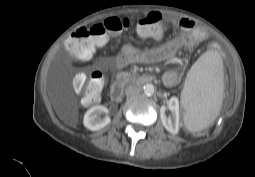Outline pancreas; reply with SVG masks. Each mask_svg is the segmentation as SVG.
I'll use <instances>...</instances> for the list:
<instances>
[{
  "label": "pancreas",
  "instance_id": "obj_1",
  "mask_svg": "<svg viewBox=\"0 0 255 177\" xmlns=\"http://www.w3.org/2000/svg\"><path fill=\"white\" fill-rule=\"evenodd\" d=\"M134 75L129 72H120L117 74L118 79H122L124 81H129Z\"/></svg>",
  "mask_w": 255,
  "mask_h": 177
}]
</instances>
